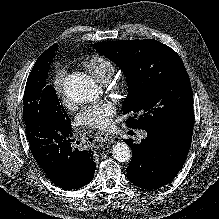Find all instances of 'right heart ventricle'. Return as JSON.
<instances>
[{"label":"right heart ventricle","mask_w":219,"mask_h":219,"mask_svg":"<svg viewBox=\"0 0 219 219\" xmlns=\"http://www.w3.org/2000/svg\"><path fill=\"white\" fill-rule=\"evenodd\" d=\"M83 65L101 83L108 81L115 72L114 63L103 55H92L83 61Z\"/></svg>","instance_id":"e07e8e85"}]
</instances>
